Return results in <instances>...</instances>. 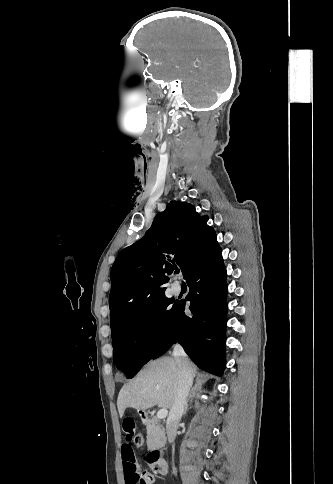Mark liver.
Segmentation results:
<instances>
[{
	"mask_svg": "<svg viewBox=\"0 0 333 484\" xmlns=\"http://www.w3.org/2000/svg\"><path fill=\"white\" fill-rule=\"evenodd\" d=\"M192 373L195 366L191 363ZM179 385V367L173 357H162L149 362L137 376L120 390L117 407L122 418L126 408L145 411L158 405L171 409Z\"/></svg>",
	"mask_w": 333,
	"mask_h": 484,
	"instance_id": "obj_1",
	"label": "liver"
}]
</instances>
